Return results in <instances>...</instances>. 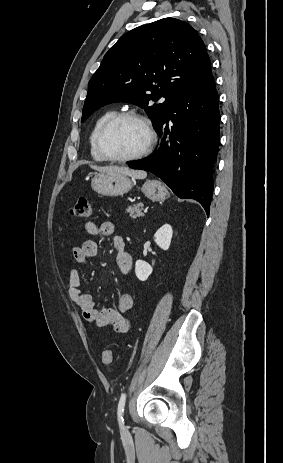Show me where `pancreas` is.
Instances as JSON below:
<instances>
[{
    "mask_svg": "<svg viewBox=\"0 0 283 463\" xmlns=\"http://www.w3.org/2000/svg\"><path fill=\"white\" fill-rule=\"evenodd\" d=\"M142 208H143V204L138 203L133 206H128V208L126 209V212L129 214L131 218L136 219L138 217L143 216Z\"/></svg>",
    "mask_w": 283,
    "mask_h": 463,
    "instance_id": "obj_1",
    "label": "pancreas"
}]
</instances>
